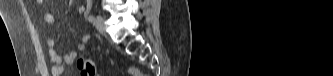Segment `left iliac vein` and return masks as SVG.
<instances>
[{"instance_id":"obj_1","label":"left iliac vein","mask_w":333,"mask_h":76,"mask_svg":"<svg viewBox=\"0 0 333 76\" xmlns=\"http://www.w3.org/2000/svg\"><path fill=\"white\" fill-rule=\"evenodd\" d=\"M96 29L103 35L106 34L105 20L101 15H98L95 19Z\"/></svg>"}]
</instances>
